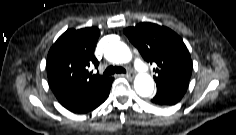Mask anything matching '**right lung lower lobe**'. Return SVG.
Masks as SVG:
<instances>
[{
  "label": "right lung lower lobe",
  "instance_id": "98d812e1",
  "mask_svg": "<svg viewBox=\"0 0 236 135\" xmlns=\"http://www.w3.org/2000/svg\"><path fill=\"white\" fill-rule=\"evenodd\" d=\"M113 80L114 78H107L91 88L54 93L66 109L73 113L84 114L96 109L107 99Z\"/></svg>",
  "mask_w": 236,
  "mask_h": 135
}]
</instances>
